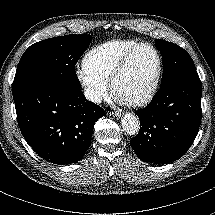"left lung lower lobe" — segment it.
I'll return each instance as SVG.
<instances>
[{
    "label": "left lung lower lobe",
    "instance_id": "obj_1",
    "mask_svg": "<svg viewBox=\"0 0 215 215\" xmlns=\"http://www.w3.org/2000/svg\"><path fill=\"white\" fill-rule=\"evenodd\" d=\"M201 93L199 76L190 71L162 85L150 104L135 112L142 127L130 144L142 161L168 163L187 152L201 123Z\"/></svg>",
    "mask_w": 215,
    "mask_h": 215
}]
</instances>
